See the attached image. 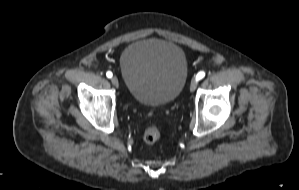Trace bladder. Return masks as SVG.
Listing matches in <instances>:
<instances>
[{
	"label": "bladder",
	"instance_id": "1",
	"mask_svg": "<svg viewBox=\"0 0 299 190\" xmlns=\"http://www.w3.org/2000/svg\"><path fill=\"white\" fill-rule=\"evenodd\" d=\"M119 66L133 98L147 106L173 101L188 75L185 52L178 45L158 39H142L122 52Z\"/></svg>",
	"mask_w": 299,
	"mask_h": 190
}]
</instances>
